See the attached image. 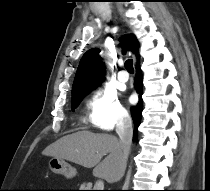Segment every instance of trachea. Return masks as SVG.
Wrapping results in <instances>:
<instances>
[{"mask_svg": "<svg viewBox=\"0 0 210 191\" xmlns=\"http://www.w3.org/2000/svg\"><path fill=\"white\" fill-rule=\"evenodd\" d=\"M125 68H126L127 71H129V72H134L132 59L126 60V62H125Z\"/></svg>", "mask_w": 210, "mask_h": 191, "instance_id": "3493384b", "label": "trachea"}]
</instances>
